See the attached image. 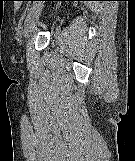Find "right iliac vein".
Segmentation results:
<instances>
[{
    "label": "right iliac vein",
    "mask_w": 135,
    "mask_h": 161,
    "mask_svg": "<svg viewBox=\"0 0 135 161\" xmlns=\"http://www.w3.org/2000/svg\"><path fill=\"white\" fill-rule=\"evenodd\" d=\"M43 9V4L36 3L31 9V12L28 18L25 21L24 29H23V36L26 38L28 37L32 31L34 30L36 23L40 17V14Z\"/></svg>",
    "instance_id": "right-iliac-vein-1"
}]
</instances>
